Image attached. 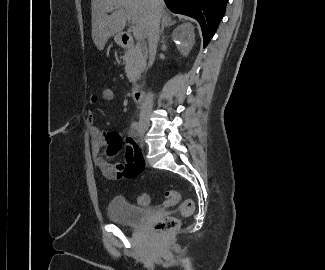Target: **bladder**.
<instances>
[{
	"label": "bladder",
	"instance_id": "obj_1",
	"mask_svg": "<svg viewBox=\"0 0 325 270\" xmlns=\"http://www.w3.org/2000/svg\"><path fill=\"white\" fill-rule=\"evenodd\" d=\"M150 215L149 209L139 207L120 196L113 197L108 204V219L120 225L136 228Z\"/></svg>",
	"mask_w": 325,
	"mask_h": 270
}]
</instances>
